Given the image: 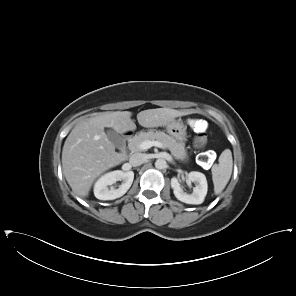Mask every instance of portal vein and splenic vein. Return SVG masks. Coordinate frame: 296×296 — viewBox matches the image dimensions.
<instances>
[{"mask_svg": "<svg viewBox=\"0 0 296 296\" xmlns=\"http://www.w3.org/2000/svg\"><path fill=\"white\" fill-rule=\"evenodd\" d=\"M153 146H156V147H159V148H165V146L159 142V141H150V140H146V141H143L140 145H139V148L141 150H147Z\"/></svg>", "mask_w": 296, "mask_h": 296, "instance_id": "1", "label": "portal vein and splenic vein"}]
</instances>
